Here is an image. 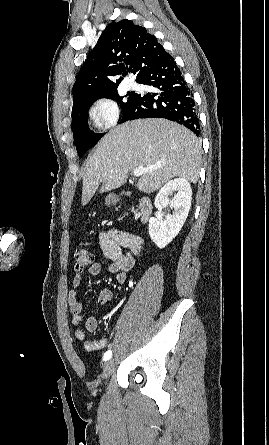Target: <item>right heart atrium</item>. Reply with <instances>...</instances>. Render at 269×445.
Returning <instances> with one entry per match:
<instances>
[{
  "label": "right heart atrium",
  "instance_id": "obj_1",
  "mask_svg": "<svg viewBox=\"0 0 269 445\" xmlns=\"http://www.w3.org/2000/svg\"><path fill=\"white\" fill-rule=\"evenodd\" d=\"M88 116L102 130L113 127L119 120L120 110L116 101L102 97L96 99L88 109Z\"/></svg>",
  "mask_w": 269,
  "mask_h": 445
}]
</instances>
